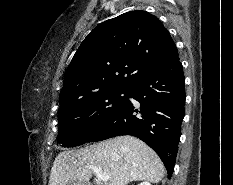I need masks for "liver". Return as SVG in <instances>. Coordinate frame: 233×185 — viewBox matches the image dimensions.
Masks as SVG:
<instances>
[{
	"mask_svg": "<svg viewBox=\"0 0 233 185\" xmlns=\"http://www.w3.org/2000/svg\"><path fill=\"white\" fill-rule=\"evenodd\" d=\"M100 167L110 179L107 185H127L133 181L158 183L165 168L158 155L133 136H119L79 150L60 152L53 163L49 185L70 181L89 182L92 170Z\"/></svg>",
	"mask_w": 233,
	"mask_h": 185,
	"instance_id": "6515ba94",
	"label": "liver"
}]
</instances>
